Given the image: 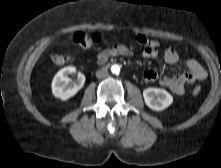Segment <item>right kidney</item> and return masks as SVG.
Segmentation results:
<instances>
[{
	"label": "right kidney",
	"instance_id": "right-kidney-1",
	"mask_svg": "<svg viewBox=\"0 0 221 168\" xmlns=\"http://www.w3.org/2000/svg\"><path fill=\"white\" fill-rule=\"evenodd\" d=\"M72 72H76V68L73 66L65 67L61 69L52 81V93L55 97L61 100H67L73 97L85 83V76L82 73H78L77 80L71 82L68 75Z\"/></svg>",
	"mask_w": 221,
	"mask_h": 168
}]
</instances>
